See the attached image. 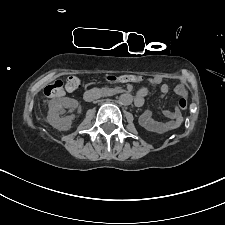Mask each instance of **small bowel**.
I'll list each match as a JSON object with an SVG mask.
<instances>
[{
	"mask_svg": "<svg viewBox=\"0 0 225 225\" xmlns=\"http://www.w3.org/2000/svg\"><path fill=\"white\" fill-rule=\"evenodd\" d=\"M161 82H162V80L160 77H153L150 80V83L153 86L160 85ZM160 89H161V93L163 95H166L170 91V86L168 84H162ZM174 92L179 96L187 95V90L182 82H179L175 85ZM147 93H148V89L143 88L136 94V97L142 99V104L144 101V97ZM141 105H139V106H141ZM162 114L167 119V121H158V120L154 119L151 111L146 110L141 116V119H140L141 124L147 130H149L151 132L162 133V132H166V131H169V130H172V129L178 127L183 121V117H182L179 109L165 110V111H163Z\"/></svg>",
	"mask_w": 225,
	"mask_h": 225,
	"instance_id": "obj_1",
	"label": "small bowel"
}]
</instances>
